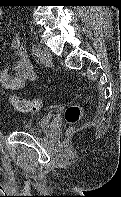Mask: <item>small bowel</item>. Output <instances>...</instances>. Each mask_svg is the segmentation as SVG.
<instances>
[{"label": "small bowel", "mask_w": 121, "mask_h": 197, "mask_svg": "<svg viewBox=\"0 0 121 197\" xmlns=\"http://www.w3.org/2000/svg\"><path fill=\"white\" fill-rule=\"evenodd\" d=\"M1 17L2 9L0 8V19ZM12 48L17 55L15 65L0 71V86L7 90L23 88L27 81L35 78L33 64L18 35L13 39ZM11 73H14V76H11Z\"/></svg>", "instance_id": "c3829d8e"}]
</instances>
